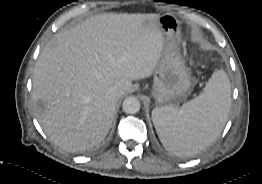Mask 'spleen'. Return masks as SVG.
I'll return each mask as SVG.
<instances>
[{
  "instance_id": "obj_1",
  "label": "spleen",
  "mask_w": 262,
  "mask_h": 184,
  "mask_svg": "<svg viewBox=\"0 0 262 184\" xmlns=\"http://www.w3.org/2000/svg\"><path fill=\"white\" fill-rule=\"evenodd\" d=\"M231 105V85L216 70L196 98L183 104L157 107L152 121L162 145L178 156H192L210 146L221 134Z\"/></svg>"
}]
</instances>
